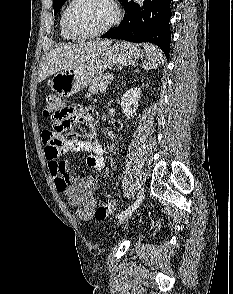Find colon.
<instances>
[{
    "label": "colon",
    "instance_id": "5ec220e1",
    "mask_svg": "<svg viewBox=\"0 0 233 294\" xmlns=\"http://www.w3.org/2000/svg\"><path fill=\"white\" fill-rule=\"evenodd\" d=\"M64 108L57 98V96L53 93H48L44 98V106H43V115L48 118L53 114V110H61ZM52 129V128H51ZM116 208V204L114 200H108L102 203L95 211V218L97 220H104L109 215H111Z\"/></svg>",
    "mask_w": 233,
    "mask_h": 294
}]
</instances>
